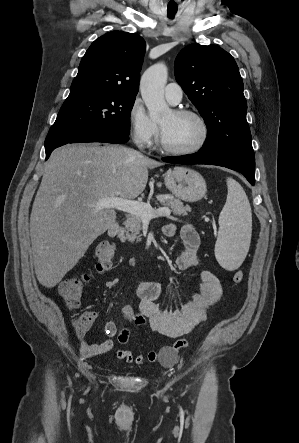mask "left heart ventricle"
Returning a JSON list of instances; mask_svg holds the SVG:
<instances>
[{
  "label": "left heart ventricle",
  "instance_id": "1",
  "mask_svg": "<svg viewBox=\"0 0 299 443\" xmlns=\"http://www.w3.org/2000/svg\"><path fill=\"white\" fill-rule=\"evenodd\" d=\"M164 143L171 148L184 149L197 143L201 136L198 122L191 117L168 113L159 120Z\"/></svg>",
  "mask_w": 299,
  "mask_h": 443
}]
</instances>
